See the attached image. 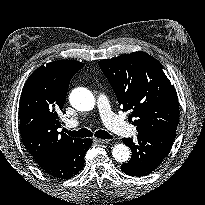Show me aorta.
Listing matches in <instances>:
<instances>
[{"mask_svg": "<svg viewBox=\"0 0 205 205\" xmlns=\"http://www.w3.org/2000/svg\"><path fill=\"white\" fill-rule=\"evenodd\" d=\"M69 102L78 111H91L95 107L94 95L86 88L78 87L71 91ZM112 156L117 162H127L130 151L124 144H116L112 149Z\"/></svg>", "mask_w": 205, "mask_h": 205, "instance_id": "obj_1", "label": "aorta"}]
</instances>
